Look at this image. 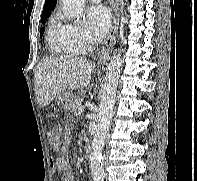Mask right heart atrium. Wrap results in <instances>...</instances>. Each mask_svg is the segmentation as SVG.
Masks as SVG:
<instances>
[{
  "instance_id": "right-heart-atrium-1",
  "label": "right heart atrium",
  "mask_w": 197,
  "mask_h": 181,
  "mask_svg": "<svg viewBox=\"0 0 197 181\" xmlns=\"http://www.w3.org/2000/svg\"><path fill=\"white\" fill-rule=\"evenodd\" d=\"M70 28L78 49L80 51L89 50L94 43V40L89 32L86 29L76 25H70Z\"/></svg>"
}]
</instances>
